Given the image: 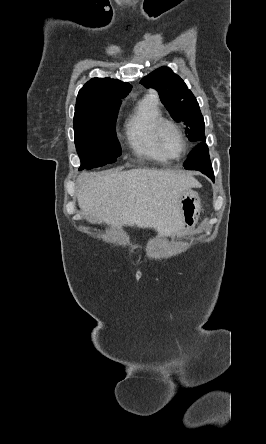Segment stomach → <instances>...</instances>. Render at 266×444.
<instances>
[{
	"mask_svg": "<svg viewBox=\"0 0 266 444\" xmlns=\"http://www.w3.org/2000/svg\"><path fill=\"white\" fill-rule=\"evenodd\" d=\"M201 211V203L198 194L187 189L181 195L179 201V215L182 233L190 231L197 223Z\"/></svg>",
	"mask_w": 266,
	"mask_h": 444,
	"instance_id": "obj_1",
	"label": "stomach"
}]
</instances>
